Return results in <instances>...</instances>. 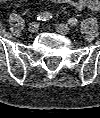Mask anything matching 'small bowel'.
Wrapping results in <instances>:
<instances>
[{
    "label": "small bowel",
    "instance_id": "1",
    "mask_svg": "<svg viewBox=\"0 0 100 118\" xmlns=\"http://www.w3.org/2000/svg\"><path fill=\"white\" fill-rule=\"evenodd\" d=\"M1 2H6L7 0H0ZM56 4H68L76 8L77 10L89 9L91 11L100 10L99 0H49Z\"/></svg>",
    "mask_w": 100,
    "mask_h": 118
}]
</instances>
